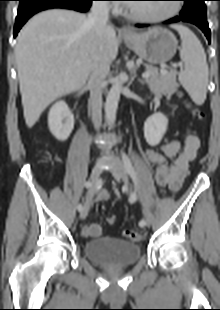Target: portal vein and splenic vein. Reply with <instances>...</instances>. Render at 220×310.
I'll return each instance as SVG.
<instances>
[{"mask_svg": "<svg viewBox=\"0 0 220 310\" xmlns=\"http://www.w3.org/2000/svg\"><path fill=\"white\" fill-rule=\"evenodd\" d=\"M172 67L176 68L177 64H173ZM162 73H165V71H163ZM150 76H151V73L147 72V71L142 74V77L145 78V79L149 78Z\"/></svg>", "mask_w": 220, "mask_h": 310, "instance_id": "portal-vein-and-splenic-vein-1", "label": "portal vein and splenic vein"}]
</instances>
